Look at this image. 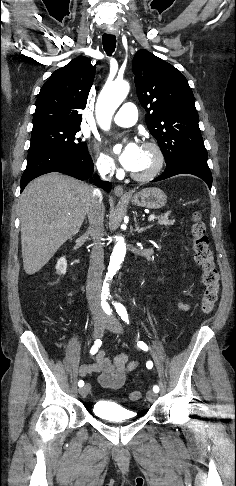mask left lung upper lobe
<instances>
[{
  "instance_id": "1",
  "label": "left lung upper lobe",
  "mask_w": 236,
  "mask_h": 486,
  "mask_svg": "<svg viewBox=\"0 0 236 486\" xmlns=\"http://www.w3.org/2000/svg\"><path fill=\"white\" fill-rule=\"evenodd\" d=\"M132 70L147 127L166 165L182 159L207 162L195 99L184 75L146 50L135 54Z\"/></svg>"
}]
</instances>
